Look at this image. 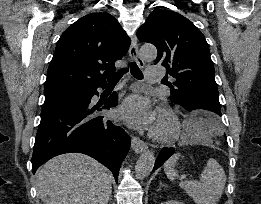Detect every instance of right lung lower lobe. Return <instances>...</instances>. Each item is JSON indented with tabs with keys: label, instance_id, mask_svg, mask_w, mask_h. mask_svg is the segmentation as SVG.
I'll return each mask as SVG.
<instances>
[{
	"label": "right lung lower lobe",
	"instance_id": "right-lung-lower-lobe-1",
	"mask_svg": "<svg viewBox=\"0 0 261 204\" xmlns=\"http://www.w3.org/2000/svg\"><path fill=\"white\" fill-rule=\"evenodd\" d=\"M105 85L103 82L45 99L31 160L33 173L54 156L78 152L98 160L118 180L120 165L130 147V137L122 128L97 114L118 103L117 94L113 93L104 106L93 104L97 88Z\"/></svg>",
	"mask_w": 261,
	"mask_h": 204
}]
</instances>
